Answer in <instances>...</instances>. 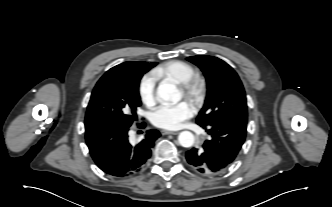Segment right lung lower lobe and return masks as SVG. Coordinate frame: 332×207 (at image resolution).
I'll use <instances>...</instances> for the list:
<instances>
[{"mask_svg":"<svg viewBox=\"0 0 332 207\" xmlns=\"http://www.w3.org/2000/svg\"><path fill=\"white\" fill-rule=\"evenodd\" d=\"M129 128H107L86 133V143L97 166L115 177H126L141 170L150 158L157 130H149L145 138L132 146L128 141Z\"/></svg>","mask_w":332,"mask_h":207,"instance_id":"obj_1","label":"right lung lower lobe"}]
</instances>
